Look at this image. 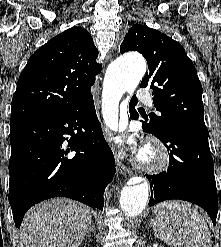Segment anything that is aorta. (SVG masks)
Segmentation results:
<instances>
[{
	"mask_svg": "<svg viewBox=\"0 0 221 247\" xmlns=\"http://www.w3.org/2000/svg\"><path fill=\"white\" fill-rule=\"evenodd\" d=\"M146 72V61L137 53L119 57L105 74L102 94V110L106 124L118 127L119 102L125 91L133 92ZM149 199L148 182L125 186L120 196V207L128 217L140 214Z\"/></svg>",
	"mask_w": 221,
	"mask_h": 247,
	"instance_id": "obj_1",
	"label": "aorta"
}]
</instances>
